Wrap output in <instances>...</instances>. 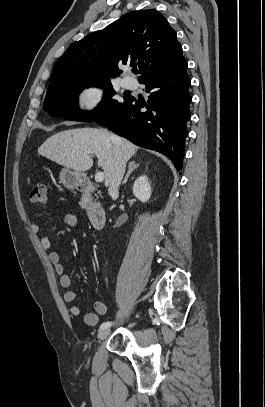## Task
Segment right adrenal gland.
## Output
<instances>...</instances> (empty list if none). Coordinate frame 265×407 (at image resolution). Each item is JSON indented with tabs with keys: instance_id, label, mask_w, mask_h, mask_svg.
Wrapping results in <instances>:
<instances>
[{
	"instance_id": "right-adrenal-gland-1",
	"label": "right adrenal gland",
	"mask_w": 265,
	"mask_h": 407,
	"mask_svg": "<svg viewBox=\"0 0 265 407\" xmlns=\"http://www.w3.org/2000/svg\"><path fill=\"white\" fill-rule=\"evenodd\" d=\"M138 167H139V164H136L135 161H131V162L129 163L128 172H127V174H126V176H125V178H124L122 184H126V183H127L130 174H131L136 168H138Z\"/></svg>"
}]
</instances>
